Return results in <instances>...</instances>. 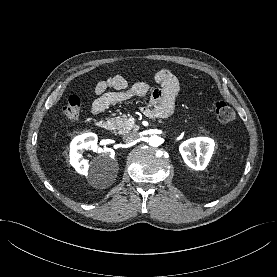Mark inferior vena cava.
I'll use <instances>...</instances> for the list:
<instances>
[{
    "label": "inferior vena cava",
    "mask_w": 277,
    "mask_h": 277,
    "mask_svg": "<svg viewBox=\"0 0 277 277\" xmlns=\"http://www.w3.org/2000/svg\"><path fill=\"white\" fill-rule=\"evenodd\" d=\"M139 138V135L138 133H128V134H125L123 136V140L126 142V143H131L133 141H136L137 139Z\"/></svg>",
    "instance_id": "602c4592"
}]
</instances>
